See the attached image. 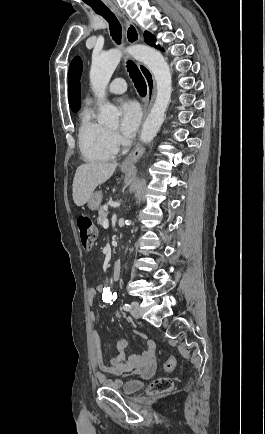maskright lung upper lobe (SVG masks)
<instances>
[{"instance_id": "1", "label": "right lung upper lobe", "mask_w": 265, "mask_h": 434, "mask_svg": "<svg viewBox=\"0 0 265 434\" xmlns=\"http://www.w3.org/2000/svg\"><path fill=\"white\" fill-rule=\"evenodd\" d=\"M82 67V61L78 56L75 57L70 64L68 74V97L71 107L80 106V78Z\"/></svg>"}]
</instances>
